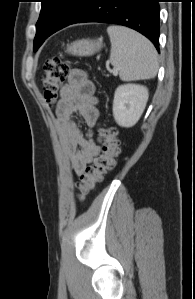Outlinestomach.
Returning <instances> with one entry per match:
<instances>
[{
  "mask_svg": "<svg viewBox=\"0 0 195 299\" xmlns=\"http://www.w3.org/2000/svg\"><path fill=\"white\" fill-rule=\"evenodd\" d=\"M102 40H79L67 46V52L75 56H90L102 48Z\"/></svg>",
  "mask_w": 195,
  "mask_h": 299,
  "instance_id": "0dacf381",
  "label": "stomach"
}]
</instances>
